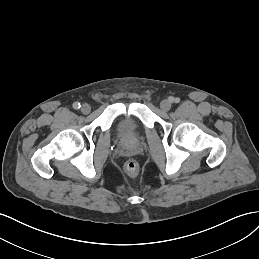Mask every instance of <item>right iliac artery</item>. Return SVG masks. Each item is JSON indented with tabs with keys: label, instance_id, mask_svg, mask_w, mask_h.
Masks as SVG:
<instances>
[{
	"label": "right iliac artery",
	"instance_id": "obj_1",
	"mask_svg": "<svg viewBox=\"0 0 259 259\" xmlns=\"http://www.w3.org/2000/svg\"><path fill=\"white\" fill-rule=\"evenodd\" d=\"M80 107H81V105H80L79 102L73 103V108H74V109H79Z\"/></svg>",
	"mask_w": 259,
	"mask_h": 259
}]
</instances>
